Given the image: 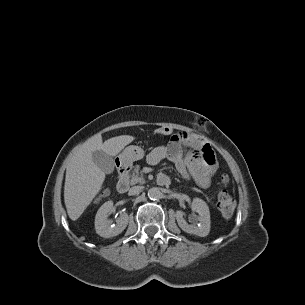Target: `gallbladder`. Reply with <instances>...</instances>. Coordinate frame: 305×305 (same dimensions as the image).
Here are the masks:
<instances>
[{
    "instance_id": "1",
    "label": "gallbladder",
    "mask_w": 305,
    "mask_h": 305,
    "mask_svg": "<svg viewBox=\"0 0 305 305\" xmlns=\"http://www.w3.org/2000/svg\"><path fill=\"white\" fill-rule=\"evenodd\" d=\"M92 159L94 163L105 173H113L114 160L110 155L104 153L101 150H97L92 153Z\"/></svg>"
}]
</instances>
